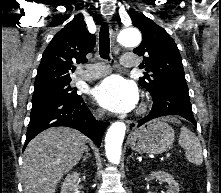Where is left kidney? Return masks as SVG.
<instances>
[{
	"label": "left kidney",
	"mask_w": 221,
	"mask_h": 193,
	"mask_svg": "<svg viewBox=\"0 0 221 193\" xmlns=\"http://www.w3.org/2000/svg\"><path fill=\"white\" fill-rule=\"evenodd\" d=\"M151 176H155L159 181L166 182L168 184L169 189L167 190V193H179L178 183L174 180L173 176L167 172H152Z\"/></svg>",
	"instance_id": "1"
}]
</instances>
